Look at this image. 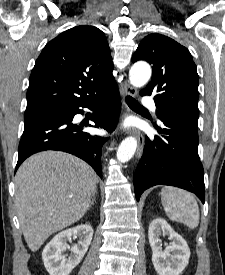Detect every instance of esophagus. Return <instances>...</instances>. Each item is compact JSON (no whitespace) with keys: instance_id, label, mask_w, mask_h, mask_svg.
Masks as SVG:
<instances>
[{"instance_id":"obj_1","label":"esophagus","mask_w":225,"mask_h":275,"mask_svg":"<svg viewBox=\"0 0 225 275\" xmlns=\"http://www.w3.org/2000/svg\"><path fill=\"white\" fill-rule=\"evenodd\" d=\"M137 93L136 89L134 87H132L130 84H124L123 88H122V94L125 95H131V96H135ZM129 132H131L132 134H134L137 138V142H138V147H137V153H136V157L140 158L142 156L143 153V149H144V137L141 134L140 131L136 130V129H131L129 130Z\"/></svg>"}]
</instances>
